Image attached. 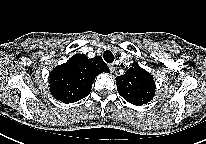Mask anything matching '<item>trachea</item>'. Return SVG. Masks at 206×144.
<instances>
[{"label":"trachea","mask_w":206,"mask_h":144,"mask_svg":"<svg viewBox=\"0 0 206 144\" xmlns=\"http://www.w3.org/2000/svg\"><path fill=\"white\" fill-rule=\"evenodd\" d=\"M103 58L107 63H112L114 61V55L111 51L107 50L103 54Z\"/></svg>","instance_id":"obj_1"}]
</instances>
